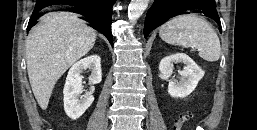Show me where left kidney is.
<instances>
[{
    "label": "left kidney",
    "mask_w": 257,
    "mask_h": 130,
    "mask_svg": "<svg viewBox=\"0 0 257 130\" xmlns=\"http://www.w3.org/2000/svg\"><path fill=\"white\" fill-rule=\"evenodd\" d=\"M183 63L184 69L179 72L180 81L171 80L168 84V93L174 98H184L191 94L198 82L203 78L204 71L186 54L178 53L163 58L159 63L160 73L168 78L173 73V64Z\"/></svg>",
    "instance_id": "1"
}]
</instances>
